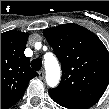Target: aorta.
<instances>
[{"label":"aorta","mask_w":109,"mask_h":109,"mask_svg":"<svg viewBox=\"0 0 109 109\" xmlns=\"http://www.w3.org/2000/svg\"><path fill=\"white\" fill-rule=\"evenodd\" d=\"M46 83L49 87L54 88L59 84L61 77V68L57 59L52 55L45 59Z\"/></svg>","instance_id":"aorta-1"}]
</instances>
